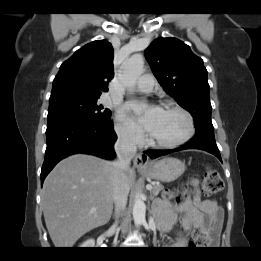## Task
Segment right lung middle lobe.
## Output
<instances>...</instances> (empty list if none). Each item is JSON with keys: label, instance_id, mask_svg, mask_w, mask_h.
Wrapping results in <instances>:
<instances>
[{"label": "right lung middle lobe", "instance_id": "obj_1", "mask_svg": "<svg viewBox=\"0 0 261 261\" xmlns=\"http://www.w3.org/2000/svg\"><path fill=\"white\" fill-rule=\"evenodd\" d=\"M99 97L78 92L51 94L47 122L51 123L66 119L110 122L111 112L97 103Z\"/></svg>", "mask_w": 261, "mask_h": 261}]
</instances>
